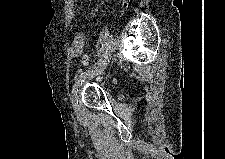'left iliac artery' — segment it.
<instances>
[{
	"label": "left iliac artery",
	"mask_w": 225,
	"mask_h": 159,
	"mask_svg": "<svg viewBox=\"0 0 225 159\" xmlns=\"http://www.w3.org/2000/svg\"><path fill=\"white\" fill-rule=\"evenodd\" d=\"M102 62V59H99L92 67L88 68L86 71L82 72L78 79L76 80L75 84L73 85L72 93L75 95L77 94L78 87L82 82H84L85 78L94 70L96 69Z\"/></svg>",
	"instance_id": "obj_1"
}]
</instances>
